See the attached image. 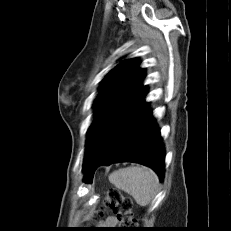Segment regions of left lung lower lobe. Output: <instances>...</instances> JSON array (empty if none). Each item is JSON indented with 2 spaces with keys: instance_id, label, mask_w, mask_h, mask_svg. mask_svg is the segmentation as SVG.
<instances>
[{
  "instance_id": "1",
  "label": "left lung lower lobe",
  "mask_w": 231,
  "mask_h": 231,
  "mask_svg": "<svg viewBox=\"0 0 231 231\" xmlns=\"http://www.w3.org/2000/svg\"><path fill=\"white\" fill-rule=\"evenodd\" d=\"M145 86L113 118L83 164L84 180L91 182L100 165L134 162L149 166L162 180L165 151L149 103Z\"/></svg>"
}]
</instances>
